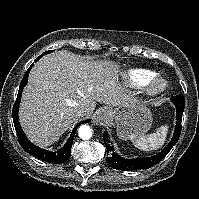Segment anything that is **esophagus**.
I'll return each instance as SVG.
<instances>
[{
	"label": "esophagus",
	"instance_id": "1",
	"mask_svg": "<svg viewBox=\"0 0 199 199\" xmlns=\"http://www.w3.org/2000/svg\"><path fill=\"white\" fill-rule=\"evenodd\" d=\"M111 118V112L107 109H100L94 116V123L99 126L106 125Z\"/></svg>",
	"mask_w": 199,
	"mask_h": 199
}]
</instances>
